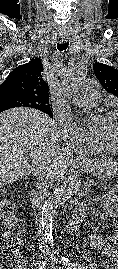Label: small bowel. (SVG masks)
<instances>
[{
  "label": "small bowel",
  "mask_w": 118,
  "mask_h": 269,
  "mask_svg": "<svg viewBox=\"0 0 118 269\" xmlns=\"http://www.w3.org/2000/svg\"><path fill=\"white\" fill-rule=\"evenodd\" d=\"M108 203L112 213L118 215V193L114 195ZM111 240L112 243L118 244V231L112 235ZM88 243L91 248L103 251L107 260L118 267V251L110 246L101 236L91 235ZM17 269H27V267L21 265Z\"/></svg>",
  "instance_id": "small-bowel-1"
}]
</instances>
